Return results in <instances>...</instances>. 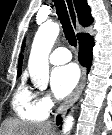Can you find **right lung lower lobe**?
<instances>
[{
    "label": "right lung lower lobe",
    "mask_w": 112,
    "mask_h": 135,
    "mask_svg": "<svg viewBox=\"0 0 112 135\" xmlns=\"http://www.w3.org/2000/svg\"><path fill=\"white\" fill-rule=\"evenodd\" d=\"M79 45H80V53H79V60L80 63L83 65L84 63L87 65V69L89 71L90 65L92 62V49L94 46V40L92 36L87 35L81 39H79ZM61 123V119H57V124L59 125Z\"/></svg>",
    "instance_id": "1"
}]
</instances>
